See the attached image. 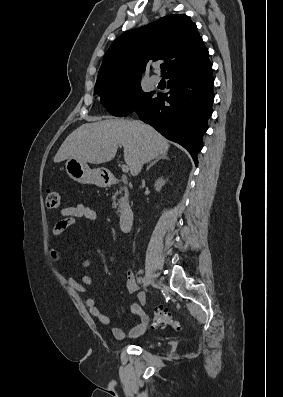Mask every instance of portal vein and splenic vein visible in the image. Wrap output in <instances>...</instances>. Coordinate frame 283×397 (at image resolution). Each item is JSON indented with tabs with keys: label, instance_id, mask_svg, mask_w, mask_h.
<instances>
[{
	"label": "portal vein and splenic vein",
	"instance_id": "18ae733b",
	"mask_svg": "<svg viewBox=\"0 0 283 397\" xmlns=\"http://www.w3.org/2000/svg\"><path fill=\"white\" fill-rule=\"evenodd\" d=\"M121 169H122V171L125 172V173L129 171V167H128L127 164H123L122 167H121Z\"/></svg>",
	"mask_w": 283,
	"mask_h": 397
}]
</instances>
